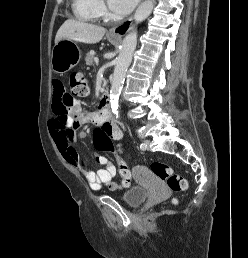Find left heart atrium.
Returning a JSON list of instances; mask_svg holds the SVG:
<instances>
[{
  "mask_svg": "<svg viewBox=\"0 0 248 258\" xmlns=\"http://www.w3.org/2000/svg\"><path fill=\"white\" fill-rule=\"evenodd\" d=\"M139 0H108L110 9L117 15L129 13Z\"/></svg>",
  "mask_w": 248,
  "mask_h": 258,
  "instance_id": "left-heart-atrium-1",
  "label": "left heart atrium"
}]
</instances>
